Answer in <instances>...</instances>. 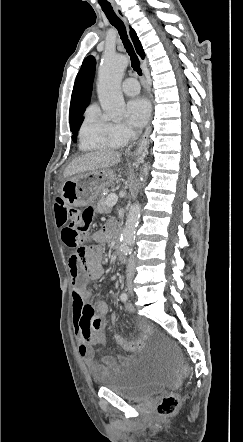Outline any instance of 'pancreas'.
<instances>
[{
  "label": "pancreas",
  "mask_w": 243,
  "mask_h": 442,
  "mask_svg": "<svg viewBox=\"0 0 243 442\" xmlns=\"http://www.w3.org/2000/svg\"><path fill=\"white\" fill-rule=\"evenodd\" d=\"M110 196V195H109ZM108 196V197H109ZM108 197H102L100 200H99V202L97 203V207H96V209H97V212H99V213H108L110 210H111V207H109L108 205H107V199H108Z\"/></svg>",
  "instance_id": "pancreas-1"
}]
</instances>
